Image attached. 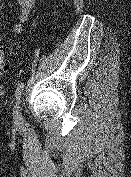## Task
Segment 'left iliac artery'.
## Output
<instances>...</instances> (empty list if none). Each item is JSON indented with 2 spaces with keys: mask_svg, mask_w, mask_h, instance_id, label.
I'll return each instance as SVG.
<instances>
[{
  "mask_svg": "<svg viewBox=\"0 0 131 177\" xmlns=\"http://www.w3.org/2000/svg\"><path fill=\"white\" fill-rule=\"evenodd\" d=\"M23 90H24V83L19 82L16 87V91H15V97H16L17 103L20 102Z\"/></svg>",
  "mask_w": 131,
  "mask_h": 177,
  "instance_id": "1",
  "label": "left iliac artery"
}]
</instances>
